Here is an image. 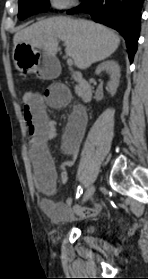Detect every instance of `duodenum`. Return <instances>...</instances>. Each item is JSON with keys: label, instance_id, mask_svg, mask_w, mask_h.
Masks as SVG:
<instances>
[{"label": "duodenum", "instance_id": "1", "mask_svg": "<svg viewBox=\"0 0 148 279\" xmlns=\"http://www.w3.org/2000/svg\"><path fill=\"white\" fill-rule=\"evenodd\" d=\"M77 79L79 96L84 103H88L92 98V87L85 79L80 77Z\"/></svg>", "mask_w": 148, "mask_h": 279}]
</instances>
